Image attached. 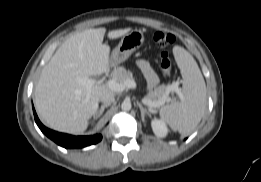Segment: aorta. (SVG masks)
I'll return each mask as SVG.
<instances>
[{
    "instance_id": "aorta-1",
    "label": "aorta",
    "mask_w": 261,
    "mask_h": 182,
    "mask_svg": "<svg viewBox=\"0 0 261 182\" xmlns=\"http://www.w3.org/2000/svg\"><path fill=\"white\" fill-rule=\"evenodd\" d=\"M131 107H132L131 102L127 101V100L123 101L122 104H121V109L123 111H130Z\"/></svg>"
}]
</instances>
